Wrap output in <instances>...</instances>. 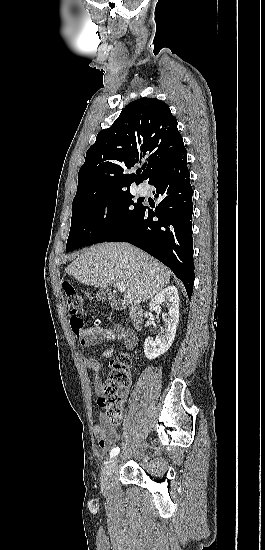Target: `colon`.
<instances>
[{
    "mask_svg": "<svg viewBox=\"0 0 265 550\" xmlns=\"http://www.w3.org/2000/svg\"><path fill=\"white\" fill-rule=\"evenodd\" d=\"M63 290L66 304L71 315V324L74 331L84 327L85 301L73 284L64 283ZM99 324L96 323V326ZM131 358L128 354H120L116 360L110 363L108 380L104 384L99 398V406L102 409V417L105 422L113 427L119 426L123 420V402L126 392L131 386L130 374Z\"/></svg>",
    "mask_w": 265,
    "mask_h": 550,
    "instance_id": "colon-1",
    "label": "colon"
}]
</instances>
